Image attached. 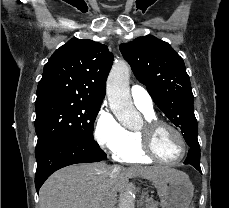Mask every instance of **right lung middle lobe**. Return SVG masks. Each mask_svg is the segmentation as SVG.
<instances>
[{
  "mask_svg": "<svg viewBox=\"0 0 229 208\" xmlns=\"http://www.w3.org/2000/svg\"><path fill=\"white\" fill-rule=\"evenodd\" d=\"M35 105L36 150L63 135L77 136L96 144L93 127L100 106L67 97H51L36 101Z\"/></svg>",
  "mask_w": 229,
  "mask_h": 208,
  "instance_id": "1",
  "label": "right lung middle lobe"
}]
</instances>
